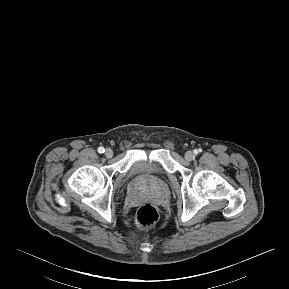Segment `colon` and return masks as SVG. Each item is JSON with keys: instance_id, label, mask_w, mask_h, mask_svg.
<instances>
[{"instance_id": "colon-1", "label": "colon", "mask_w": 289, "mask_h": 289, "mask_svg": "<svg viewBox=\"0 0 289 289\" xmlns=\"http://www.w3.org/2000/svg\"><path fill=\"white\" fill-rule=\"evenodd\" d=\"M158 219V212L151 204L142 205L136 214V222L141 228L151 227Z\"/></svg>"}]
</instances>
